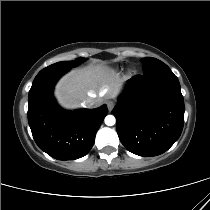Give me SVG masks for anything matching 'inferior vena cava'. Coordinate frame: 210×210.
Masks as SVG:
<instances>
[{
  "instance_id": "inferior-vena-cava-1",
  "label": "inferior vena cava",
  "mask_w": 210,
  "mask_h": 210,
  "mask_svg": "<svg viewBox=\"0 0 210 210\" xmlns=\"http://www.w3.org/2000/svg\"><path fill=\"white\" fill-rule=\"evenodd\" d=\"M97 103L96 99L93 98V97H88L86 98L84 101H83V104L86 106V107H93L95 106Z\"/></svg>"
}]
</instances>
